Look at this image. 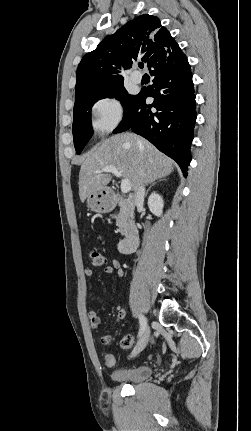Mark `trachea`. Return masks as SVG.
<instances>
[{
  "label": "trachea",
  "instance_id": "trachea-1",
  "mask_svg": "<svg viewBox=\"0 0 251 431\" xmlns=\"http://www.w3.org/2000/svg\"><path fill=\"white\" fill-rule=\"evenodd\" d=\"M138 66H139V68L142 69L144 67V64L143 63H139Z\"/></svg>",
  "mask_w": 251,
  "mask_h": 431
}]
</instances>
